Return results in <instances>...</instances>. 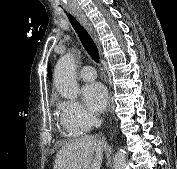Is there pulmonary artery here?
I'll return each mask as SVG.
<instances>
[{"instance_id":"obj_1","label":"pulmonary artery","mask_w":177,"mask_h":169,"mask_svg":"<svg viewBox=\"0 0 177 169\" xmlns=\"http://www.w3.org/2000/svg\"><path fill=\"white\" fill-rule=\"evenodd\" d=\"M79 77L83 81H93L94 79H96L97 73H96L94 67L84 66L79 73Z\"/></svg>"}]
</instances>
